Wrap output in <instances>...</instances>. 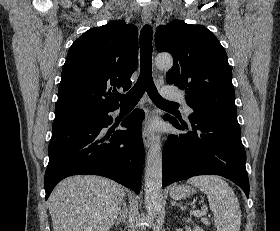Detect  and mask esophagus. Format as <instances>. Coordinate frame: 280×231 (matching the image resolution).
Returning <instances> with one entry per match:
<instances>
[{
  "label": "esophagus",
  "instance_id": "1",
  "mask_svg": "<svg viewBox=\"0 0 280 231\" xmlns=\"http://www.w3.org/2000/svg\"><path fill=\"white\" fill-rule=\"evenodd\" d=\"M142 19L145 24H151L152 21V13L149 7H143L142 13H141ZM143 143L146 149L150 147L151 143V132L150 130L145 126L143 129Z\"/></svg>",
  "mask_w": 280,
  "mask_h": 231
}]
</instances>
